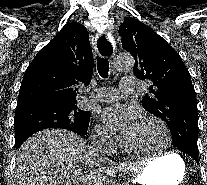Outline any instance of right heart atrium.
Returning a JSON list of instances; mask_svg holds the SVG:
<instances>
[{"mask_svg":"<svg viewBox=\"0 0 207 185\" xmlns=\"http://www.w3.org/2000/svg\"><path fill=\"white\" fill-rule=\"evenodd\" d=\"M92 140L97 147L110 150L117 144L118 137L107 127L98 123L94 127Z\"/></svg>","mask_w":207,"mask_h":185,"instance_id":"d8ad5b80","label":"right heart atrium"}]
</instances>
